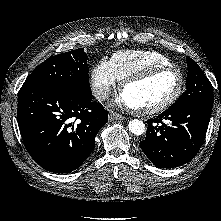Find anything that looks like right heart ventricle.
<instances>
[{
    "mask_svg": "<svg viewBox=\"0 0 221 221\" xmlns=\"http://www.w3.org/2000/svg\"><path fill=\"white\" fill-rule=\"evenodd\" d=\"M109 63L118 81L151 67L172 65L169 58L152 50L118 51L111 56Z\"/></svg>",
    "mask_w": 221,
    "mask_h": 221,
    "instance_id": "right-heart-ventricle-1",
    "label": "right heart ventricle"
}]
</instances>
